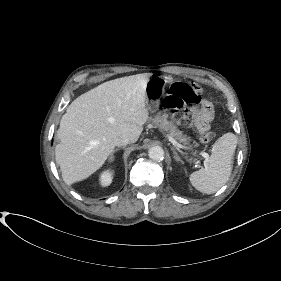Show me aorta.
I'll return each mask as SVG.
<instances>
[{
    "mask_svg": "<svg viewBox=\"0 0 281 281\" xmlns=\"http://www.w3.org/2000/svg\"><path fill=\"white\" fill-rule=\"evenodd\" d=\"M148 155L153 160L162 161L164 159V150L160 146H153L149 149Z\"/></svg>",
    "mask_w": 281,
    "mask_h": 281,
    "instance_id": "obj_1",
    "label": "aorta"
}]
</instances>
